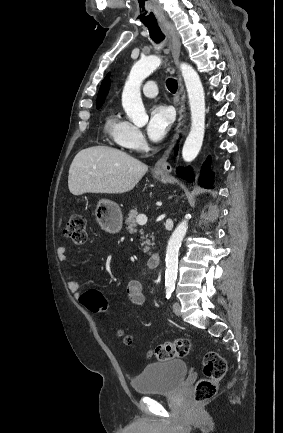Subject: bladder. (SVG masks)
I'll list each match as a JSON object with an SVG mask.
<instances>
[{"label":"bladder","instance_id":"bladder-1","mask_svg":"<svg viewBox=\"0 0 283 433\" xmlns=\"http://www.w3.org/2000/svg\"><path fill=\"white\" fill-rule=\"evenodd\" d=\"M188 364L181 360H167L147 365L132 380L136 393L175 392L185 379Z\"/></svg>","mask_w":283,"mask_h":433}]
</instances>
